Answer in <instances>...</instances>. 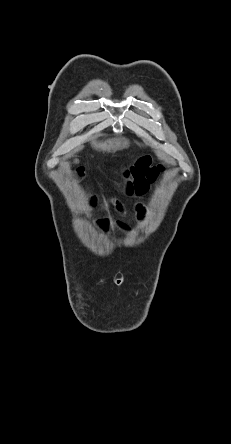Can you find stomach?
<instances>
[{
    "label": "stomach",
    "instance_id": "stomach-1",
    "mask_svg": "<svg viewBox=\"0 0 231 444\" xmlns=\"http://www.w3.org/2000/svg\"><path fill=\"white\" fill-rule=\"evenodd\" d=\"M128 145V142L125 139H110L101 142H95L94 147L97 150L103 152H110L117 149H121Z\"/></svg>",
    "mask_w": 231,
    "mask_h": 444
}]
</instances>
